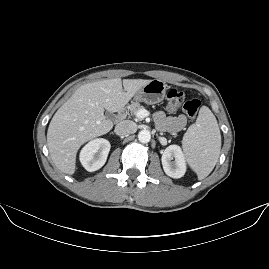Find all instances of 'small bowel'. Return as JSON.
Segmentation results:
<instances>
[{
    "mask_svg": "<svg viewBox=\"0 0 269 269\" xmlns=\"http://www.w3.org/2000/svg\"><path fill=\"white\" fill-rule=\"evenodd\" d=\"M155 119L158 126L173 132L180 131L186 125V117L178 115L176 117H167L163 112L155 113Z\"/></svg>",
    "mask_w": 269,
    "mask_h": 269,
    "instance_id": "1",
    "label": "small bowel"
}]
</instances>
